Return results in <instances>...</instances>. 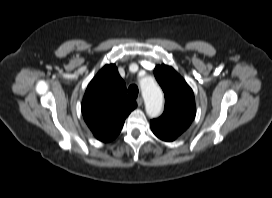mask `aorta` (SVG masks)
<instances>
[{
    "label": "aorta",
    "instance_id": "1",
    "mask_svg": "<svg viewBox=\"0 0 272 198\" xmlns=\"http://www.w3.org/2000/svg\"><path fill=\"white\" fill-rule=\"evenodd\" d=\"M145 110L150 118L158 117L163 108V93L153 79L143 80L140 83Z\"/></svg>",
    "mask_w": 272,
    "mask_h": 198
}]
</instances>
